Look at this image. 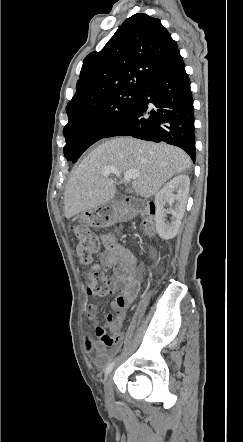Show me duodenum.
<instances>
[{"label":"duodenum","mask_w":243,"mask_h":442,"mask_svg":"<svg viewBox=\"0 0 243 442\" xmlns=\"http://www.w3.org/2000/svg\"><path fill=\"white\" fill-rule=\"evenodd\" d=\"M137 210L138 202L131 198L122 200L118 207V211L126 214L127 216H132L137 212ZM143 228L146 234L150 235L152 233V226L149 222H143Z\"/></svg>","instance_id":"1"}]
</instances>
